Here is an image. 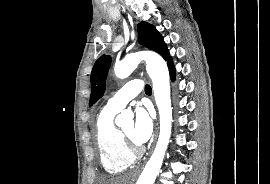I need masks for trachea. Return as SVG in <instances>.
Segmentation results:
<instances>
[{
  "label": "trachea",
  "instance_id": "obj_1",
  "mask_svg": "<svg viewBox=\"0 0 270 184\" xmlns=\"http://www.w3.org/2000/svg\"><path fill=\"white\" fill-rule=\"evenodd\" d=\"M145 92L146 93H151V87L149 85L145 86Z\"/></svg>",
  "mask_w": 270,
  "mask_h": 184
}]
</instances>
